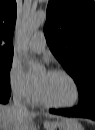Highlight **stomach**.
Masks as SVG:
<instances>
[{"label":"stomach","mask_w":95,"mask_h":130,"mask_svg":"<svg viewBox=\"0 0 95 130\" xmlns=\"http://www.w3.org/2000/svg\"><path fill=\"white\" fill-rule=\"evenodd\" d=\"M46 130H84L75 118H61L44 124Z\"/></svg>","instance_id":"stomach-1"}]
</instances>
